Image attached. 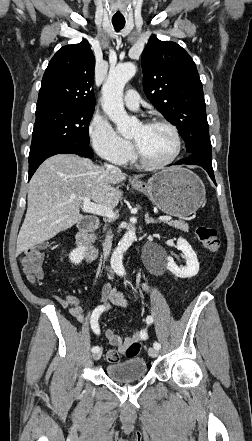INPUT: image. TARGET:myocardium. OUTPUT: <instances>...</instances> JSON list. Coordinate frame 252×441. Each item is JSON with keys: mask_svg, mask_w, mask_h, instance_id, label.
Returning a JSON list of instances; mask_svg holds the SVG:
<instances>
[{"mask_svg": "<svg viewBox=\"0 0 252 441\" xmlns=\"http://www.w3.org/2000/svg\"><path fill=\"white\" fill-rule=\"evenodd\" d=\"M142 125H144V126H164V127L168 128L171 131V133L173 134L174 139H175V150H174V153L172 154V156L169 159H167L166 161L154 163V162L149 161L143 155V153L140 151L138 146L135 143H133L135 157L139 161V163L143 167H145L147 169H152V170L163 169V168L168 167L171 164H173L176 161V159L179 157V155L182 151V139H181V135H180L177 127L175 125H173L171 122H169L165 119H160V118H153V119L147 120Z\"/></svg>", "mask_w": 252, "mask_h": 441, "instance_id": "obj_1", "label": "myocardium"}]
</instances>
